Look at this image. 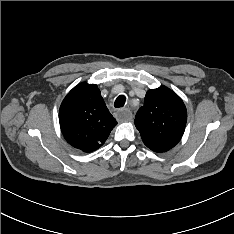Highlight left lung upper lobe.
I'll return each mask as SVG.
<instances>
[{"instance_id": "1", "label": "left lung upper lobe", "mask_w": 234, "mask_h": 234, "mask_svg": "<svg viewBox=\"0 0 234 234\" xmlns=\"http://www.w3.org/2000/svg\"><path fill=\"white\" fill-rule=\"evenodd\" d=\"M186 122L187 110L182 99L165 86L147 91L144 105L135 117V126L145 145L159 140L177 144Z\"/></svg>"}]
</instances>
